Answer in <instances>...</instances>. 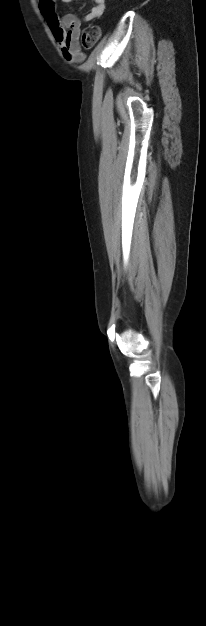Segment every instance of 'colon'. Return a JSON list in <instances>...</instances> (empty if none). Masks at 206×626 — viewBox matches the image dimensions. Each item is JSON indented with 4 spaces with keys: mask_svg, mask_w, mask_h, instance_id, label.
I'll use <instances>...</instances> for the list:
<instances>
[{
    "mask_svg": "<svg viewBox=\"0 0 206 626\" xmlns=\"http://www.w3.org/2000/svg\"><path fill=\"white\" fill-rule=\"evenodd\" d=\"M101 35L100 28L98 26H89L82 35V44L85 48L93 47L99 40Z\"/></svg>",
    "mask_w": 206,
    "mask_h": 626,
    "instance_id": "obj_1",
    "label": "colon"
}]
</instances>
